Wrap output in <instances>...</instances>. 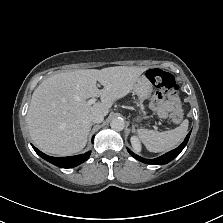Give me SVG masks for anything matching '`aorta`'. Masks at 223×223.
<instances>
[{
	"mask_svg": "<svg viewBox=\"0 0 223 223\" xmlns=\"http://www.w3.org/2000/svg\"><path fill=\"white\" fill-rule=\"evenodd\" d=\"M110 126L115 131H121L125 127V122L122 118H114L110 122Z\"/></svg>",
	"mask_w": 223,
	"mask_h": 223,
	"instance_id": "762f6f07",
	"label": "aorta"
}]
</instances>
